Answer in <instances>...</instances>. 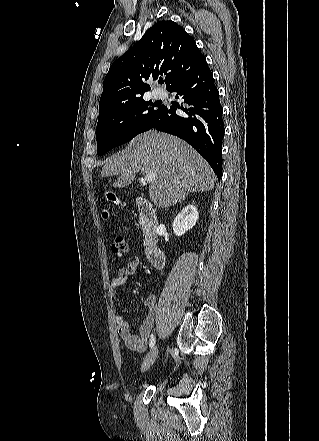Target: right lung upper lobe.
Returning a JSON list of instances; mask_svg holds the SVG:
<instances>
[{
	"label": "right lung upper lobe",
	"instance_id": "right-lung-upper-lobe-1",
	"mask_svg": "<svg viewBox=\"0 0 319 441\" xmlns=\"http://www.w3.org/2000/svg\"><path fill=\"white\" fill-rule=\"evenodd\" d=\"M205 57L194 39L173 21H160L110 67L99 110L143 98L147 81L165 75L167 90Z\"/></svg>",
	"mask_w": 319,
	"mask_h": 441
}]
</instances>
